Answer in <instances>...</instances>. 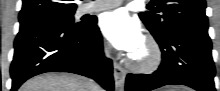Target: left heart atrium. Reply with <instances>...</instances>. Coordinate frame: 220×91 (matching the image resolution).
Instances as JSON below:
<instances>
[{"mask_svg":"<svg viewBox=\"0 0 220 91\" xmlns=\"http://www.w3.org/2000/svg\"><path fill=\"white\" fill-rule=\"evenodd\" d=\"M100 27L112 45L133 55L144 43L139 23L125 9L105 13Z\"/></svg>","mask_w":220,"mask_h":91,"instance_id":"left-heart-atrium-1","label":"left heart atrium"}]
</instances>
